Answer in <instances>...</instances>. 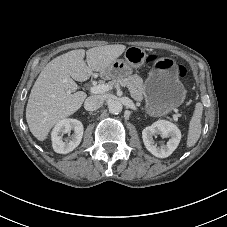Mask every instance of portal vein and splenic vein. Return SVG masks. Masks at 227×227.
I'll use <instances>...</instances> for the list:
<instances>
[{
	"label": "portal vein and splenic vein",
	"mask_w": 227,
	"mask_h": 227,
	"mask_svg": "<svg viewBox=\"0 0 227 227\" xmlns=\"http://www.w3.org/2000/svg\"><path fill=\"white\" fill-rule=\"evenodd\" d=\"M110 89H112V87L108 84H98V85L92 86L90 90H91V93L93 94H101L109 91ZM172 119L174 122H178V115L173 114Z\"/></svg>",
	"instance_id": "1"
}]
</instances>
